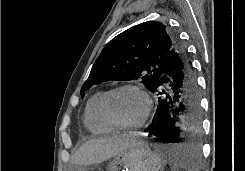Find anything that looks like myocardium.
<instances>
[{
	"label": "myocardium",
	"instance_id": "myocardium-1",
	"mask_svg": "<svg viewBox=\"0 0 245 171\" xmlns=\"http://www.w3.org/2000/svg\"><path fill=\"white\" fill-rule=\"evenodd\" d=\"M126 89H132V90L139 92L145 101V110H144L142 118L138 122L133 123V124L119 123L111 116L108 110V102L111 96L119 91L126 90ZM151 107H152V101H151L150 95L142 86L133 84V83H126V84H122L114 88H111L110 90L104 92V94L101 97L100 103H99V113L102 119L112 128L118 129V130H124V131H131V130L140 129L146 124V122L149 119L150 113H151Z\"/></svg>",
	"mask_w": 245,
	"mask_h": 171
}]
</instances>
